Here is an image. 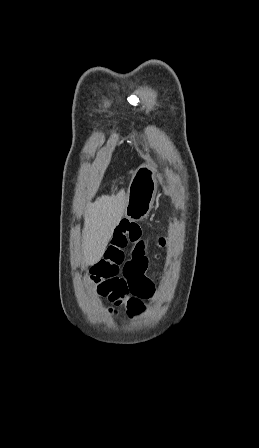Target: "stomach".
Listing matches in <instances>:
<instances>
[{
	"mask_svg": "<svg viewBox=\"0 0 259 448\" xmlns=\"http://www.w3.org/2000/svg\"><path fill=\"white\" fill-rule=\"evenodd\" d=\"M156 192V168L152 164H141L129 184L125 210L127 218L133 222L146 218L152 210Z\"/></svg>",
	"mask_w": 259,
	"mask_h": 448,
	"instance_id": "stomach-1",
	"label": "stomach"
}]
</instances>
